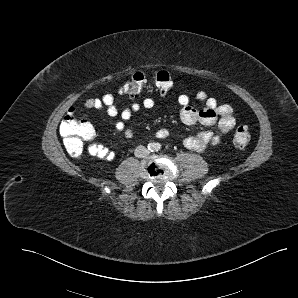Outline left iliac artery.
<instances>
[{
	"label": "left iliac artery",
	"mask_w": 298,
	"mask_h": 298,
	"mask_svg": "<svg viewBox=\"0 0 298 298\" xmlns=\"http://www.w3.org/2000/svg\"><path fill=\"white\" fill-rule=\"evenodd\" d=\"M161 149V144L157 143L155 144V150L159 151Z\"/></svg>",
	"instance_id": "obj_1"
}]
</instances>
